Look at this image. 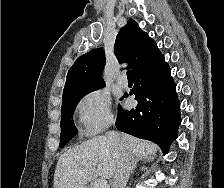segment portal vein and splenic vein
I'll list each match as a JSON object with an SVG mask.
<instances>
[{"mask_svg": "<svg viewBox=\"0 0 224 188\" xmlns=\"http://www.w3.org/2000/svg\"><path fill=\"white\" fill-rule=\"evenodd\" d=\"M94 188H109L108 187V182L104 179H98L94 183Z\"/></svg>", "mask_w": 224, "mask_h": 188, "instance_id": "portal-vein-and-splenic-vein-1", "label": "portal vein and splenic vein"}]
</instances>
